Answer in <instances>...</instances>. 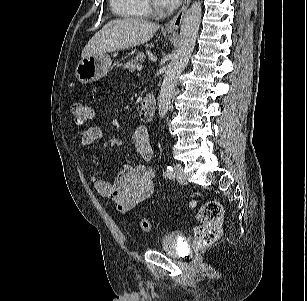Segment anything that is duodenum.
<instances>
[{"label":"duodenum","instance_id":"410a0bca","mask_svg":"<svg viewBox=\"0 0 307 301\" xmlns=\"http://www.w3.org/2000/svg\"><path fill=\"white\" fill-rule=\"evenodd\" d=\"M156 113V99L152 94H147L144 96L140 108H139V118L144 121L153 120Z\"/></svg>","mask_w":307,"mask_h":301}]
</instances>
